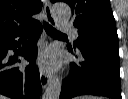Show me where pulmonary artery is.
I'll use <instances>...</instances> for the list:
<instances>
[{
  "label": "pulmonary artery",
  "instance_id": "1",
  "mask_svg": "<svg viewBox=\"0 0 128 99\" xmlns=\"http://www.w3.org/2000/svg\"><path fill=\"white\" fill-rule=\"evenodd\" d=\"M58 28L61 30V31H64V32H68L70 34H72V36L74 38H77L78 37V33L76 31V29L69 23H66V22H62L58 25Z\"/></svg>",
  "mask_w": 128,
  "mask_h": 99
}]
</instances>
